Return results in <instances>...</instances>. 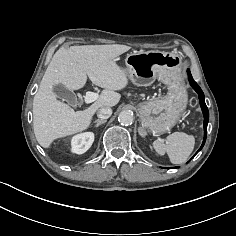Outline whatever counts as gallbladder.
<instances>
[{"instance_id":"obj_1","label":"gallbladder","mask_w":236,"mask_h":236,"mask_svg":"<svg viewBox=\"0 0 236 236\" xmlns=\"http://www.w3.org/2000/svg\"><path fill=\"white\" fill-rule=\"evenodd\" d=\"M53 91L56 94L57 98L66 101L71 106L77 105V97L76 95L68 90L64 85L57 84L53 86Z\"/></svg>"}]
</instances>
